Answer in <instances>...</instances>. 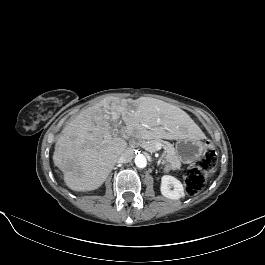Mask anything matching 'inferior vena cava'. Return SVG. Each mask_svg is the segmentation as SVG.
Masks as SVG:
<instances>
[{"instance_id": "602c4592", "label": "inferior vena cava", "mask_w": 265, "mask_h": 265, "mask_svg": "<svg viewBox=\"0 0 265 265\" xmlns=\"http://www.w3.org/2000/svg\"><path fill=\"white\" fill-rule=\"evenodd\" d=\"M133 150L132 149H125L122 155L119 157L118 162L125 163L131 161L133 158Z\"/></svg>"}]
</instances>
